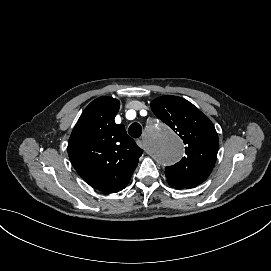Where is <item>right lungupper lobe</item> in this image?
<instances>
[{
	"label": "right lung upper lobe",
	"mask_w": 271,
	"mask_h": 271,
	"mask_svg": "<svg viewBox=\"0 0 271 271\" xmlns=\"http://www.w3.org/2000/svg\"><path fill=\"white\" fill-rule=\"evenodd\" d=\"M119 101L101 96L83 111L68 142L77 173L93 188L116 193L128 184L143 150L114 118Z\"/></svg>",
	"instance_id": "cb5924a9"
}]
</instances>
